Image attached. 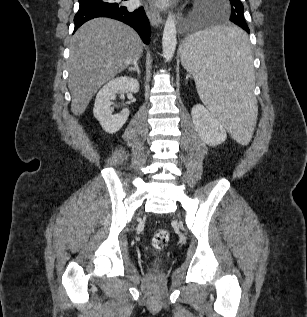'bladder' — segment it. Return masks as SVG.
I'll use <instances>...</instances> for the list:
<instances>
[{
    "instance_id": "bladder-1",
    "label": "bladder",
    "mask_w": 307,
    "mask_h": 317,
    "mask_svg": "<svg viewBox=\"0 0 307 317\" xmlns=\"http://www.w3.org/2000/svg\"><path fill=\"white\" fill-rule=\"evenodd\" d=\"M155 263L156 264H160L161 263V259L157 260Z\"/></svg>"
}]
</instances>
